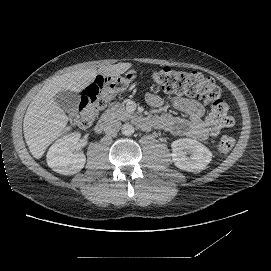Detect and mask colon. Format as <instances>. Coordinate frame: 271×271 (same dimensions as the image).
I'll use <instances>...</instances> for the list:
<instances>
[{
  "label": "colon",
  "instance_id": "colon-1",
  "mask_svg": "<svg viewBox=\"0 0 271 271\" xmlns=\"http://www.w3.org/2000/svg\"><path fill=\"white\" fill-rule=\"evenodd\" d=\"M134 79L132 72L119 76H98L89 85L80 104L71 111L70 120L82 128L89 127L97 113L116 95L129 89ZM153 88L157 92L184 94L203 99L210 107L206 117V126L211 135L234 124L230 115V107L223 100L221 90L215 81L197 71L177 70L162 67L151 73ZM235 140L231 136H223L218 149L226 154L234 147Z\"/></svg>",
  "mask_w": 271,
  "mask_h": 271
}]
</instances>
